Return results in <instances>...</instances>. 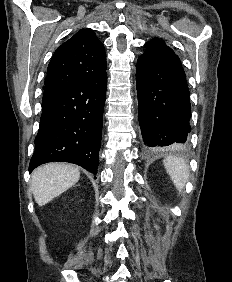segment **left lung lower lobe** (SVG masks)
Segmentation results:
<instances>
[{
  "instance_id": "left-lung-lower-lobe-1",
  "label": "left lung lower lobe",
  "mask_w": 232,
  "mask_h": 282,
  "mask_svg": "<svg viewBox=\"0 0 232 282\" xmlns=\"http://www.w3.org/2000/svg\"><path fill=\"white\" fill-rule=\"evenodd\" d=\"M145 47L136 69L139 124L145 148H184L191 131V105L181 61L160 39H152Z\"/></svg>"
}]
</instances>
